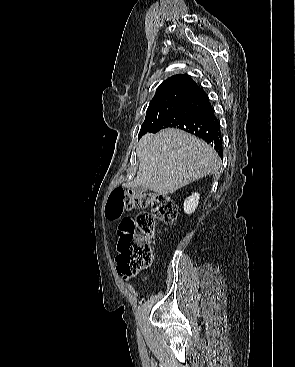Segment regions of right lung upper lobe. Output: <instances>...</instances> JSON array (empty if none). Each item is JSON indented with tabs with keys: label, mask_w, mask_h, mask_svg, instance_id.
Listing matches in <instances>:
<instances>
[{
	"label": "right lung upper lobe",
	"mask_w": 295,
	"mask_h": 367,
	"mask_svg": "<svg viewBox=\"0 0 295 367\" xmlns=\"http://www.w3.org/2000/svg\"><path fill=\"white\" fill-rule=\"evenodd\" d=\"M173 88H186L197 91L200 87L187 75H174L164 80L157 88L156 92L173 89Z\"/></svg>",
	"instance_id": "right-lung-upper-lobe-1"
}]
</instances>
